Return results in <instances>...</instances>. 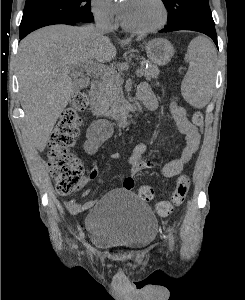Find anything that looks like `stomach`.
<instances>
[{
    "mask_svg": "<svg viewBox=\"0 0 245 300\" xmlns=\"http://www.w3.org/2000/svg\"><path fill=\"white\" fill-rule=\"evenodd\" d=\"M148 58L159 66L166 65L174 54V48L171 43L163 38H157L148 41L145 44Z\"/></svg>",
    "mask_w": 245,
    "mask_h": 300,
    "instance_id": "0dacf381",
    "label": "stomach"
}]
</instances>
